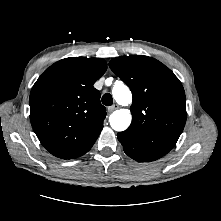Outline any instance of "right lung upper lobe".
<instances>
[{
    "instance_id": "right-lung-upper-lobe-1",
    "label": "right lung upper lobe",
    "mask_w": 221,
    "mask_h": 221,
    "mask_svg": "<svg viewBox=\"0 0 221 221\" xmlns=\"http://www.w3.org/2000/svg\"><path fill=\"white\" fill-rule=\"evenodd\" d=\"M106 69L101 58H66L50 66L34 84L29 98L31 125L52 155L72 159L95 143L106 108L93 84Z\"/></svg>"
}]
</instances>
